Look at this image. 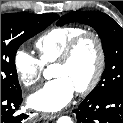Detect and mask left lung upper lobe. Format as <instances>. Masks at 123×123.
Here are the masks:
<instances>
[{
	"instance_id": "obj_1",
	"label": "left lung upper lobe",
	"mask_w": 123,
	"mask_h": 123,
	"mask_svg": "<svg viewBox=\"0 0 123 123\" xmlns=\"http://www.w3.org/2000/svg\"><path fill=\"white\" fill-rule=\"evenodd\" d=\"M80 22L93 27L102 40L105 54V70L99 84L90 94H102L123 90V29L108 15L97 11H74L57 22L62 26Z\"/></svg>"
}]
</instances>
